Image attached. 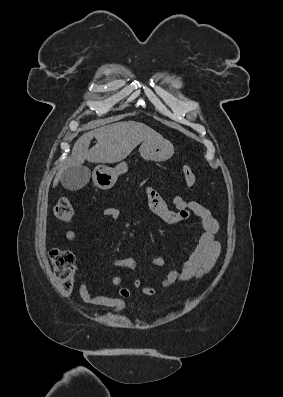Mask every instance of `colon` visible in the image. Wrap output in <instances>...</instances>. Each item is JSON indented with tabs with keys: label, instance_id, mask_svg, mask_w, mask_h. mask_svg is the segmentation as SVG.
I'll list each match as a JSON object with an SVG mask.
<instances>
[{
	"label": "colon",
	"instance_id": "5ec220e1",
	"mask_svg": "<svg viewBox=\"0 0 283 397\" xmlns=\"http://www.w3.org/2000/svg\"><path fill=\"white\" fill-rule=\"evenodd\" d=\"M183 177L187 186L193 189L196 175L189 165H184ZM54 216L62 222L69 223L74 217V209L67 199H60L54 207ZM50 260L57 277L59 287L64 294H70L74 287L75 258L72 252L63 249L50 251Z\"/></svg>",
	"mask_w": 283,
	"mask_h": 397
}]
</instances>
